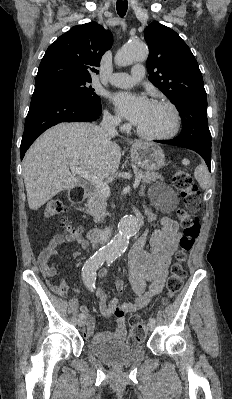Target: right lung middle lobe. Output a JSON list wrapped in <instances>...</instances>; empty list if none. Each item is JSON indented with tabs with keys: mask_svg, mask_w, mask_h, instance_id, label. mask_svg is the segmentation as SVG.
I'll return each instance as SVG.
<instances>
[{
	"mask_svg": "<svg viewBox=\"0 0 232 399\" xmlns=\"http://www.w3.org/2000/svg\"><path fill=\"white\" fill-rule=\"evenodd\" d=\"M91 80H81L74 78H52L45 80L39 84H49L62 88L72 94L82 103L88 104L94 108H101L100 97L94 92L91 86H87ZM35 84V85H39Z\"/></svg>",
	"mask_w": 232,
	"mask_h": 399,
	"instance_id": "right-lung-middle-lobe-1",
	"label": "right lung middle lobe"
}]
</instances>
